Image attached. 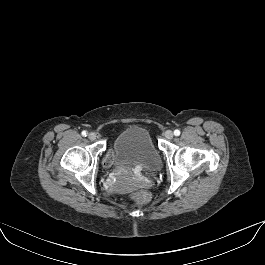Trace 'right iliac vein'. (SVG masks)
<instances>
[{
  "label": "right iliac vein",
  "mask_w": 265,
  "mask_h": 265,
  "mask_svg": "<svg viewBox=\"0 0 265 265\" xmlns=\"http://www.w3.org/2000/svg\"><path fill=\"white\" fill-rule=\"evenodd\" d=\"M96 137H97V135H96V133H94V132H90V133L88 134V138H89V140H91V141L95 140Z\"/></svg>",
  "instance_id": "obj_1"
}]
</instances>
